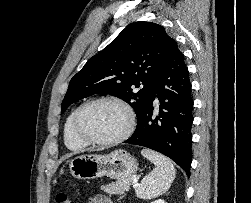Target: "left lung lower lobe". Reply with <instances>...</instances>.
Listing matches in <instances>:
<instances>
[{"label":"left lung lower lobe","mask_w":251,"mask_h":203,"mask_svg":"<svg viewBox=\"0 0 251 203\" xmlns=\"http://www.w3.org/2000/svg\"><path fill=\"white\" fill-rule=\"evenodd\" d=\"M155 97L159 107L154 115ZM137 122L134 134L124 143L144 146L166 155L189 176L193 98L188 68L176 42L157 74L150 100Z\"/></svg>","instance_id":"0a47b994"}]
</instances>
